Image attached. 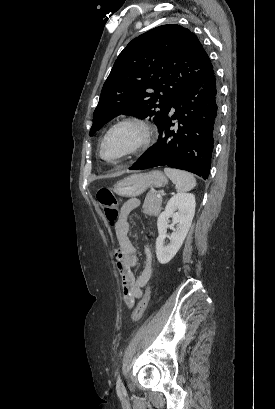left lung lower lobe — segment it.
<instances>
[{"label":"left lung lower lobe","instance_id":"1","mask_svg":"<svg viewBox=\"0 0 275 409\" xmlns=\"http://www.w3.org/2000/svg\"><path fill=\"white\" fill-rule=\"evenodd\" d=\"M176 119L178 126L172 123ZM218 123L219 90L212 69L182 91L158 127L157 143L129 169L169 166L208 179Z\"/></svg>","mask_w":275,"mask_h":409}]
</instances>
